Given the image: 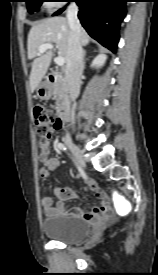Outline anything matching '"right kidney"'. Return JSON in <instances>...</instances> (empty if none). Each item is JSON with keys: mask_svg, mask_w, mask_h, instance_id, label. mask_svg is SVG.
Segmentation results:
<instances>
[{"mask_svg": "<svg viewBox=\"0 0 158 275\" xmlns=\"http://www.w3.org/2000/svg\"><path fill=\"white\" fill-rule=\"evenodd\" d=\"M107 59V56L104 54L98 55L92 62L91 67H102Z\"/></svg>", "mask_w": 158, "mask_h": 275, "instance_id": "right-kidney-1", "label": "right kidney"}]
</instances>
